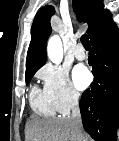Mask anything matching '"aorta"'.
<instances>
[{"label": "aorta", "instance_id": "aorta-1", "mask_svg": "<svg viewBox=\"0 0 119 141\" xmlns=\"http://www.w3.org/2000/svg\"><path fill=\"white\" fill-rule=\"evenodd\" d=\"M47 54L49 59L55 63L59 64L63 59V48L62 42L57 35L52 36L47 44Z\"/></svg>", "mask_w": 119, "mask_h": 141}]
</instances>
